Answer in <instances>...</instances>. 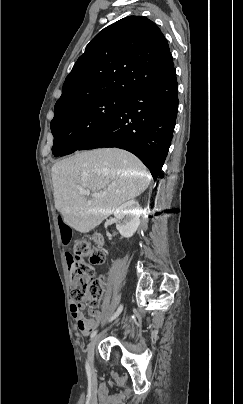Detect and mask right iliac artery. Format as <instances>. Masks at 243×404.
<instances>
[{
    "instance_id": "right-iliac-artery-1",
    "label": "right iliac artery",
    "mask_w": 243,
    "mask_h": 404,
    "mask_svg": "<svg viewBox=\"0 0 243 404\" xmlns=\"http://www.w3.org/2000/svg\"><path fill=\"white\" fill-rule=\"evenodd\" d=\"M122 309H123V306L120 305L119 308L117 309V311L110 317L109 321L114 320L121 313ZM96 334H97V330L93 331L91 333L90 338L95 337ZM86 372L88 375H91V369H90V365H89L88 361L86 362Z\"/></svg>"
}]
</instances>
